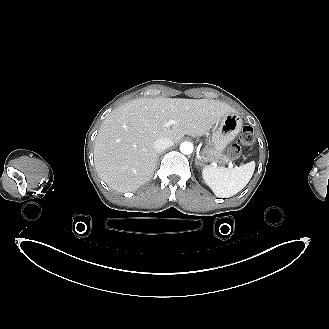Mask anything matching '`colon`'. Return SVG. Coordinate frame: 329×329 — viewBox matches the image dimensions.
<instances>
[{
	"instance_id": "obj_1",
	"label": "colon",
	"mask_w": 329,
	"mask_h": 329,
	"mask_svg": "<svg viewBox=\"0 0 329 329\" xmlns=\"http://www.w3.org/2000/svg\"><path fill=\"white\" fill-rule=\"evenodd\" d=\"M239 141L241 144L245 146H250L254 143L255 137H254V132L253 129L250 127H244L241 134ZM232 154L233 156H238L240 154V147L239 145H234L232 148Z\"/></svg>"
}]
</instances>
